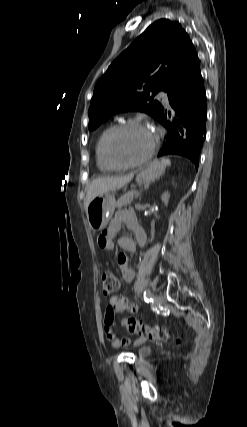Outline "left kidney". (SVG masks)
<instances>
[{
    "label": "left kidney",
    "instance_id": "left-kidney-1",
    "mask_svg": "<svg viewBox=\"0 0 247 427\" xmlns=\"http://www.w3.org/2000/svg\"><path fill=\"white\" fill-rule=\"evenodd\" d=\"M169 198H170V194H169V192H168V191H166V192H164V193L162 194V196H161V200H162V202L164 203V205H165V206H167V205H168Z\"/></svg>",
    "mask_w": 247,
    "mask_h": 427
}]
</instances>
